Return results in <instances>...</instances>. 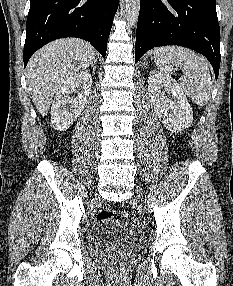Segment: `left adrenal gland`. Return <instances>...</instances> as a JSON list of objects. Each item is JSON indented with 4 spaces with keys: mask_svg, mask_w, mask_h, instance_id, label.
I'll list each match as a JSON object with an SVG mask.
<instances>
[{
    "mask_svg": "<svg viewBox=\"0 0 233 286\" xmlns=\"http://www.w3.org/2000/svg\"><path fill=\"white\" fill-rule=\"evenodd\" d=\"M148 65V63H146L145 65H144V67H146Z\"/></svg>",
    "mask_w": 233,
    "mask_h": 286,
    "instance_id": "obj_1",
    "label": "left adrenal gland"
}]
</instances>
